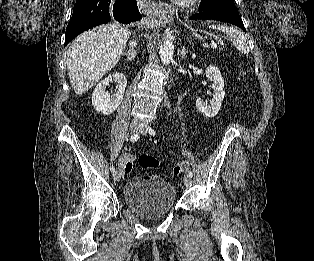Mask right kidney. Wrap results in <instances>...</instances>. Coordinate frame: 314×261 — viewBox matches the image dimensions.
Here are the masks:
<instances>
[{"mask_svg": "<svg viewBox=\"0 0 314 261\" xmlns=\"http://www.w3.org/2000/svg\"><path fill=\"white\" fill-rule=\"evenodd\" d=\"M113 81L117 83L116 92L110 95L106 91V87ZM126 85L127 79L122 73L109 75L95 87L92 95V105L97 111L105 115L113 113L123 100Z\"/></svg>", "mask_w": 314, "mask_h": 261, "instance_id": "right-kidney-1", "label": "right kidney"}]
</instances>
